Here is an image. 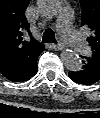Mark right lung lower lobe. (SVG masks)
Returning <instances> with one entry per match:
<instances>
[{
    "instance_id": "98d812e1",
    "label": "right lung lower lobe",
    "mask_w": 100,
    "mask_h": 118,
    "mask_svg": "<svg viewBox=\"0 0 100 118\" xmlns=\"http://www.w3.org/2000/svg\"><path fill=\"white\" fill-rule=\"evenodd\" d=\"M44 47L43 45L39 48V50L36 52V54L33 56L31 61L28 63L26 69L18 76L9 79L13 82H23L29 80L31 77H33L37 72V65L36 61L39 56V54L43 51Z\"/></svg>"
}]
</instances>
